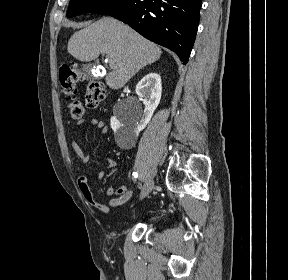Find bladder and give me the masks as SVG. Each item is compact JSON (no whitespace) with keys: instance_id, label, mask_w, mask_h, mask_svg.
Wrapping results in <instances>:
<instances>
[{"instance_id":"bladder-1","label":"bladder","mask_w":288,"mask_h":280,"mask_svg":"<svg viewBox=\"0 0 288 280\" xmlns=\"http://www.w3.org/2000/svg\"><path fill=\"white\" fill-rule=\"evenodd\" d=\"M156 218V216L155 215H151V216H149V220H154Z\"/></svg>"}]
</instances>
